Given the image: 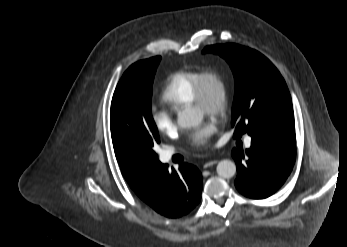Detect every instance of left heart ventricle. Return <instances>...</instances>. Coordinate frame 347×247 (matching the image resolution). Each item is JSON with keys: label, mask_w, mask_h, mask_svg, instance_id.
Returning <instances> with one entry per match:
<instances>
[{"label": "left heart ventricle", "mask_w": 347, "mask_h": 247, "mask_svg": "<svg viewBox=\"0 0 347 247\" xmlns=\"http://www.w3.org/2000/svg\"><path fill=\"white\" fill-rule=\"evenodd\" d=\"M210 96L212 99H214L216 97V91L213 87L210 88ZM195 111L198 115H204L200 109L195 108Z\"/></svg>", "instance_id": "left-heart-ventricle-1"}]
</instances>
